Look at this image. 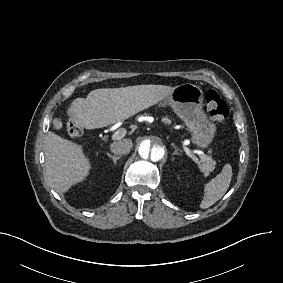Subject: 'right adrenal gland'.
I'll return each instance as SVG.
<instances>
[{"label": "right adrenal gland", "instance_id": "1", "mask_svg": "<svg viewBox=\"0 0 283 283\" xmlns=\"http://www.w3.org/2000/svg\"><path fill=\"white\" fill-rule=\"evenodd\" d=\"M107 156L113 160L114 164L120 159V156H112L110 153H107Z\"/></svg>", "mask_w": 283, "mask_h": 283}]
</instances>
